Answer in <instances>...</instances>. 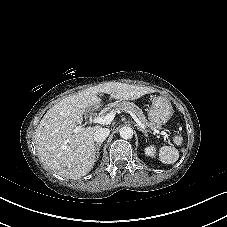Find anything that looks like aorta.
Masks as SVG:
<instances>
[{
  "label": "aorta",
  "instance_id": "762f6f07",
  "mask_svg": "<svg viewBox=\"0 0 227 227\" xmlns=\"http://www.w3.org/2000/svg\"><path fill=\"white\" fill-rule=\"evenodd\" d=\"M120 136L123 139H131L133 137V129L128 126H124L119 130Z\"/></svg>",
  "mask_w": 227,
  "mask_h": 227
}]
</instances>
